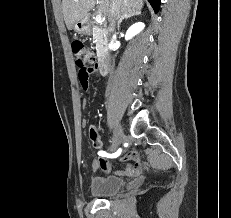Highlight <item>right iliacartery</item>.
I'll return each instance as SVG.
<instances>
[{
  "mask_svg": "<svg viewBox=\"0 0 231 218\" xmlns=\"http://www.w3.org/2000/svg\"><path fill=\"white\" fill-rule=\"evenodd\" d=\"M98 154L103 156V157H107V158H116L121 154V149H119L117 152H115L113 154H109L105 151H99Z\"/></svg>",
  "mask_w": 231,
  "mask_h": 218,
  "instance_id": "82829eb1",
  "label": "right iliac artery"
}]
</instances>
